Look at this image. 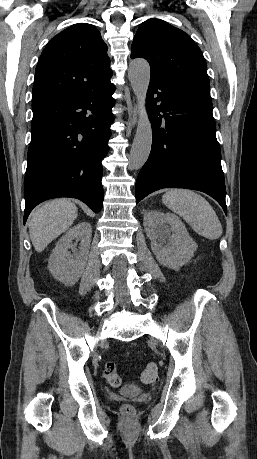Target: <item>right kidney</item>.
I'll use <instances>...</instances> for the list:
<instances>
[{
	"mask_svg": "<svg viewBox=\"0 0 257 459\" xmlns=\"http://www.w3.org/2000/svg\"><path fill=\"white\" fill-rule=\"evenodd\" d=\"M92 227L88 222H81L68 230L56 244L49 260L50 273L67 286L74 285L81 277L88 259ZM73 240L80 241L79 252L72 255Z\"/></svg>",
	"mask_w": 257,
	"mask_h": 459,
	"instance_id": "1",
	"label": "right kidney"
}]
</instances>
